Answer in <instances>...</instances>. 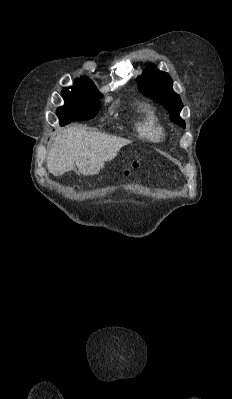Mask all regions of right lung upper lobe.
<instances>
[{"label":"right lung upper lobe","instance_id":"obj_1","mask_svg":"<svg viewBox=\"0 0 232 399\" xmlns=\"http://www.w3.org/2000/svg\"><path fill=\"white\" fill-rule=\"evenodd\" d=\"M74 83V87L63 88L62 95L83 94L102 96L89 77L82 76L81 78L76 79Z\"/></svg>","mask_w":232,"mask_h":399}]
</instances>
